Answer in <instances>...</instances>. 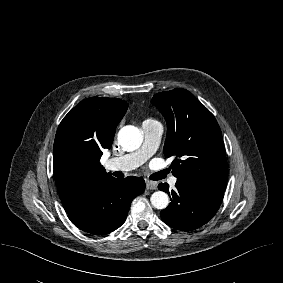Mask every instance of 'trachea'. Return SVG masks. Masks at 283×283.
<instances>
[{
    "instance_id": "trachea-1",
    "label": "trachea",
    "mask_w": 283,
    "mask_h": 283,
    "mask_svg": "<svg viewBox=\"0 0 283 283\" xmlns=\"http://www.w3.org/2000/svg\"><path fill=\"white\" fill-rule=\"evenodd\" d=\"M150 178H151L152 180H158V178H157L155 175H152Z\"/></svg>"
}]
</instances>
